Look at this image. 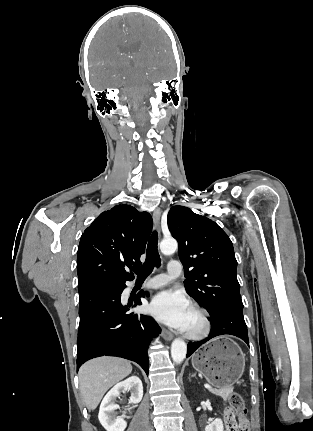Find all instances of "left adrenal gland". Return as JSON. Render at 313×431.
<instances>
[{
    "instance_id": "obj_1",
    "label": "left adrenal gland",
    "mask_w": 313,
    "mask_h": 431,
    "mask_svg": "<svg viewBox=\"0 0 313 431\" xmlns=\"http://www.w3.org/2000/svg\"><path fill=\"white\" fill-rule=\"evenodd\" d=\"M191 377H195V378H196V374H195V373H194V374H192V375H191Z\"/></svg>"
}]
</instances>
